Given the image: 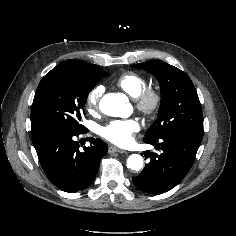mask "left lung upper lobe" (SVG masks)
<instances>
[{"label":"left lung upper lobe","instance_id":"left-lung-upper-lobe-1","mask_svg":"<svg viewBox=\"0 0 236 236\" xmlns=\"http://www.w3.org/2000/svg\"><path fill=\"white\" fill-rule=\"evenodd\" d=\"M156 75L161 85V105L157 120L145 134L151 138L173 132L203 136V114L197 91L186 73L153 60L133 66Z\"/></svg>","mask_w":236,"mask_h":236}]
</instances>
